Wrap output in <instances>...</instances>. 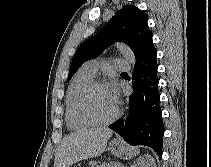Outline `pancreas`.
<instances>
[{
    "label": "pancreas",
    "mask_w": 211,
    "mask_h": 167,
    "mask_svg": "<svg viewBox=\"0 0 211 167\" xmlns=\"http://www.w3.org/2000/svg\"><path fill=\"white\" fill-rule=\"evenodd\" d=\"M95 167H122L121 164L115 162H106L100 165H96Z\"/></svg>",
    "instance_id": "obj_1"
}]
</instances>
